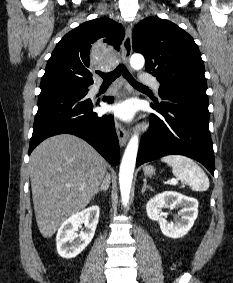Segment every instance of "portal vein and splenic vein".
Returning <instances> with one entry per match:
<instances>
[{"label": "portal vein and splenic vein", "mask_w": 233, "mask_h": 283, "mask_svg": "<svg viewBox=\"0 0 233 283\" xmlns=\"http://www.w3.org/2000/svg\"><path fill=\"white\" fill-rule=\"evenodd\" d=\"M170 184L176 185V184H177V181H176V180H171Z\"/></svg>", "instance_id": "portal-vein-and-splenic-vein-1"}]
</instances>
